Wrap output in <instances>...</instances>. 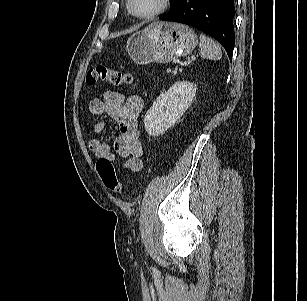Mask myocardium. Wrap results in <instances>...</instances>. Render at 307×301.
<instances>
[{"instance_id": "obj_1", "label": "myocardium", "mask_w": 307, "mask_h": 301, "mask_svg": "<svg viewBox=\"0 0 307 301\" xmlns=\"http://www.w3.org/2000/svg\"><path fill=\"white\" fill-rule=\"evenodd\" d=\"M170 1L171 0H162L161 1V5L153 12L151 13H148V14H139L137 13L134 9H133V6H132V0H126V7L129 11V13L135 17V18H138V19H142V20H149V19H153L159 15H161L162 13H164L169 5H170Z\"/></svg>"}]
</instances>
